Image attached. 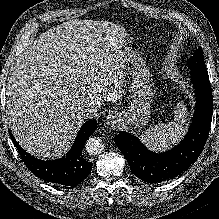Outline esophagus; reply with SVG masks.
<instances>
[{"instance_id": "esophagus-1", "label": "esophagus", "mask_w": 219, "mask_h": 219, "mask_svg": "<svg viewBox=\"0 0 219 219\" xmlns=\"http://www.w3.org/2000/svg\"><path fill=\"white\" fill-rule=\"evenodd\" d=\"M106 120H107V124L116 123V121H114L115 120V116H113V114H109Z\"/></svg>"}]
</instances>
